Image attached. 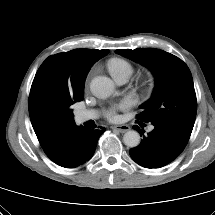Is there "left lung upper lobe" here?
<instances>
[{
    "mask_svg": "<svg viewBox=\"0 0 215 215\" xmlns=\"http://www.w3.org/2000/svg\"><path fill=\"white\" fill-rule=\"evenodd\" d=\"M116 53L147 66L156 78L153 95L140 106L142 112L137 117L189 139L196 118L197 100L188 66L160 49H119Z\"/></svg>",
    "mask_w": 215,
    "mask_h": 215,
    "instance_id": "5c2ea615",
    "label": "left lung upper lobe"
}]
</instances>
